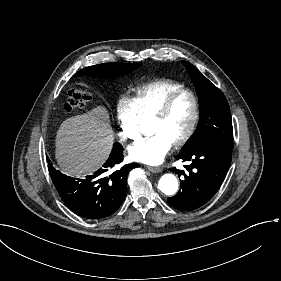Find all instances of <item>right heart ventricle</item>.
Returning a JSON list of instances; mask_svg holds the SVG:
<instances>
[{"instance_id":"right-heart-ventricle-1","label":"right heart ventricle","mask_w":281,"mask_h":281,"mask_svg":"<svg viewBox=\"0 0 281 281\" xmlns=\"http://www.w3.org/2000/svg\"><path fill=\"white\" fill-rule=\"evenodd\" d=\"M185 89L175 81H158L133 92L129 101L139 118H145L155 111L171 94Z\"/></svg>"}]
</instances>
